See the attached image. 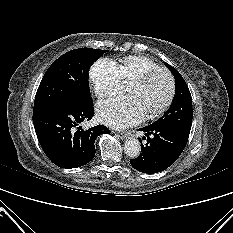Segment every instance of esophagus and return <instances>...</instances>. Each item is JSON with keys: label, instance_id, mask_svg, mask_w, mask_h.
<instances>
[{"label": "esophagus", "instance_id": "34e87169", "mask_svg": "<svg viewBox=\"0 0 233 233\" xmlns=\"http://www.w3.org/2000/svg\"><path fill=\"white\" fill-rule=\"evenodd\" d=\"M129 134L130 132H124V131L118 132V135L120 136L121 139H125Z\"/></svg>", "mask_w": 233, "mask_h": 233}]
</instances>
